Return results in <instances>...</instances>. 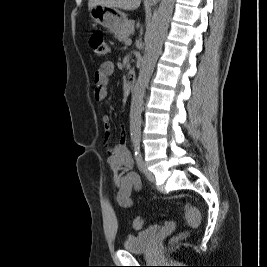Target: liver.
<instances>
[{
    "label": "liver",
    "instance_id": "1",
    "mask_svg": "<svg viewBox=\"0 0 267 267\" xmlns=\"http://www.w3.org/2000/svg\"><path fill=\"white\" fill-rule=\"evenodd\" d=\"M141 4V0H89L88 7L102 5L109 8L123 9L127 11L136 10Z\"/></svg>",
    "mask_w": 267,
    "mask_h": 267
}]
</instances>
